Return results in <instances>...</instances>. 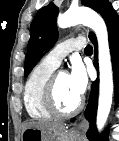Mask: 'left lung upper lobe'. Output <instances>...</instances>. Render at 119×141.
<instances>
[{"label":"left lung upper lobe","mask_w":119,"mask_h":141,"mask_svg":"<svg viewBox=\"0 0 119 141\" xmlns=\"http://www.w3.org/2000/svg\"><path fill=\"white\" fill-rule=\"evenodd\" d=\"M82 4L100 13L106 20L113 12L108 0H81ZM58 7L53 3L41 8L30 25L24 75L27 76L42 56L55 44L58 37L56 19ZM93 33H90L89 37Z\"/></svg>","instance_id":"left-lung-upper-lobe-1"}]
</instances>
